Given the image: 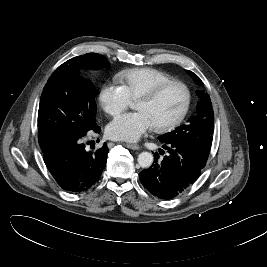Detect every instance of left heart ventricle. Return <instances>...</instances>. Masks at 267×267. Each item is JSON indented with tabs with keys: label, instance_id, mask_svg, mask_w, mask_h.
<instances>
[{
	"label": "left heart ventricle",
	"instance_id": "obj_1",
	"mask_svg": "<svg viewBox=\"0 0 267 267\" xmlns=\"http://www.w3.org/2000/svg\"><path fill=\"white\" fill-rule=\"evenodd\" d=\"M185 92L180 86L166 89L151 102H134L133 107L146 115L152 127L174 120L185 104Z\"/></svg>",
	"mask_w": 267,
	"mask_h": 267
}]
</instances>
